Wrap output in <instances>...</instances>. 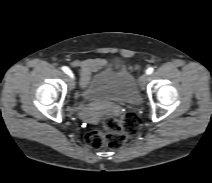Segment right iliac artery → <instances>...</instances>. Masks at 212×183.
<instances>
[{
    "mask_svg": "<svg viewBox=\"0 0 212 183\" xmlns=\"http://www.w3.org/2000/svg\"><path fill=\"white\" fill-rule=\"evenodd\" d=\"M62 70H63L66 74H68L70 77L73 78V73H72V71H71L68 67L63 66V67H62Z\"/></svg>",
    "mask_w": 212,
    "mask_h": 183,
    "instance_id": "right-iliac-artery-1",
    "label": "right iliac artery"
}]
</instances>
